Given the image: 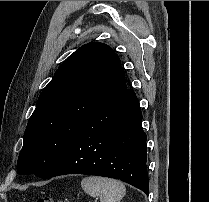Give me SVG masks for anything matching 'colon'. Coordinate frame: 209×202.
I'll use <instances>...</instances> for the list:
<instances>
[{
	"label": "colon",
	"instance_id": "5ec220e1",
	"mask_svg": "<svg viewBox=\"0 0 209 202\" xmlns=\"http://www.w3.org/2000/svg\"><path fill=\"white\" fill-rule=\"evenodd\" d=\"M33 202H66L65 200H53L50 197H39Z\"/></svg>",
	"mask_w": 209,
	"mask_h": 202
}]
</instances>
